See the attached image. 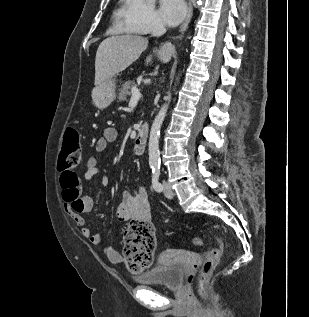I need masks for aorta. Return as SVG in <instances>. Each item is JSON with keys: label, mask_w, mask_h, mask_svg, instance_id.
Masks as SVG:
<instances>
[{"label": "aorta", "mask_w": 309, "mask_h": 317, "mask_svg": "<svg viewBox=\"0 0 309 317\" xmlns=\"http://www.w3.org/2000/svg\"><path fill=\"white\" fill-rule=\"evenodd\" d=\"M171 96L167 97V101H170ZM168 110V103H165L158 114L156 115L150 130L149 143H148V154H149V165L151 167L160 166V151H159V138L160 129L163 124L164 118Z\"/></svg>", "instance_id": "aorta-1"}]
</instances>
